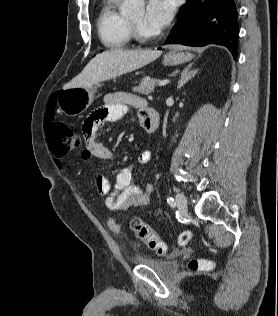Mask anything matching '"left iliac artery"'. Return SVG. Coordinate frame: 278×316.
Returning <instances> with one entry per match:
<instances>
[{
    "instance_id": "1",
    "label": "left iliac artery",
    "mask_w": 278,
    "mask_h": 316,
    "mask_svg": "<svg viewBox=\"0 0 278 316\" xmlns=\"http://www.w3.org/2000/svg\"><path fill=\"white\" fill-rule=\"evenodd\" d=\"M167 202H168V204H169L171 207H175V206H176V203H175L173 197H170V196L167 197Z\"/></svg>"
}]
</instances>
